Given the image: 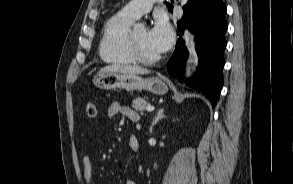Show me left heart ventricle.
Instances as JSON below:
<instances>
[{"label":"left heart ventricle","instance_id":"left-heart-ventricle-1","mask_svg":"<svg viewBox=\"0 0 293 184\" xmlns=\"http://www.w3.org/2000/svg\"><path fill=\"white\" fill-rule=\"evenodd\" d=\"M147 29L144 27H138L134 30V37L138 45L140 53L148 58L159 55L154 48L150 45L147 38Z\"/></svg>","mask_w":293,"mask_h":184}]
</instances>
